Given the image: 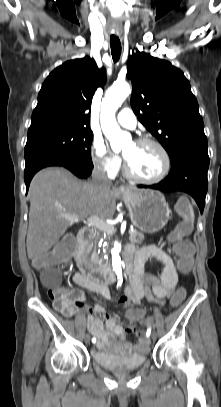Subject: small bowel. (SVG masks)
<instances>
[{
  "label": "small bowel",
  "mask_w": 221,
  "mask_h": 407,
  "mask_svg": "<svg viewBox=\"0 0 221 407\" xmlns=\"http://www.w3.org/2000/svg\"><path fill=\"white\" fill-rule=\"evenodd\" d=\"M127 252L132 255L134 250L129 247ZM151 259H155L162 264L159 277L145 273V265ZM73 283L78 288H71L69 291L76 296V303L69 313L65 315L71 316L77 309L87 312V329L95 337L96 346L99 350H122L128 353L147 350V340H145L142 332H137L139 335L138 343L135 345L130 344L126 341V335L135 332L132 325L124 326L120 324L98 303L93 305L85 303L81 289L101 294L107 299L110 298V292L103 283L95 282L79 272L73 275ZM177 283L178 273L171 258L159 247L145 246L135 252L133 270L126 288V295L120 298L119 302L124 309H129L132 305H139L143 298L164 305L168 299L170 300V292L177 288ZM98 315L103 316L104 323Z\"/></svg>",
  "instance_id": "c3829d8e"
}]
</instances>
